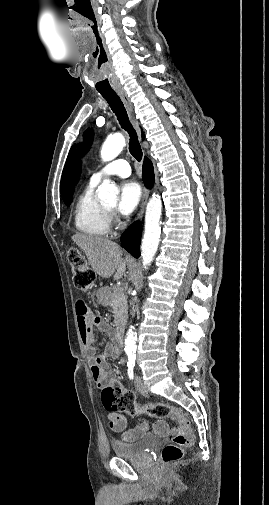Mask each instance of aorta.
I'll use <instances>...</instances> for the list:
<instances>
[{
	"label": "aorta",
	"instance_id": "aorta-1",
	"mask_svg": "<svg viewBox=\"0 0 269 505\" xmlns=\"http://www.w3.org/2000/svg\"><path fill=\"white\" fill-rule=\"evenodd\" d=\"M126 145L123 134L116 133L108 136L102 145L101 158L108 162L116 158ZM119 194L118 188L108 179H105L99 186L97 196L101 202L114 203ZM162 212V200L159 194H153L149 199L145 214V231L141 244V257L144 268L151 264L156 254L160 238V219ZM136 332L131 326L125 339V350L134 352L136 350Z\"/></svg>",
	"mask_w": 269,
	"mask_h": 505
}]
</instances>
